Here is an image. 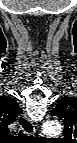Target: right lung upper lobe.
Wrapping results in <instances>:
<instances>
[{
  "mask_svg": "<svg viewBox=\"0 0 77 143\" xmlns=\"http://www.w3.org/2000/svg\"><path fill=\"white\" fill-rule=\"evenodd\" d=\"M22 113L20 107L9 97H0V128L9 132L8 125L13 123L18 115Z\"/></svg>",
  "mask_w": 77,
  "mask_h": 143,
  "instance_id": "cb5924a9",
  "label": "right lung upper lobe"
}]
</instances>
